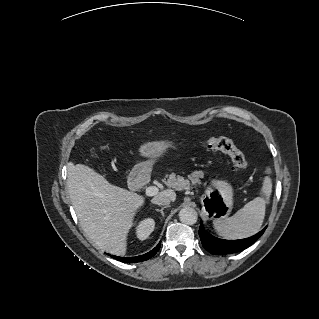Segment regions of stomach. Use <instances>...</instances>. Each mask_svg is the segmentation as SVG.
Here are the masks:
<instances>
[{"label":"stomach","mask_w":319,"mask_h":319,"mask_svg":"<svg viewBox=\"0 0 319 319\" xmlns=\"http://www.w3.org/2000/svg\"><path fill=\"white\" fill-rule=\"evenodd\" d=\"M161 151H162V146L159 144L147 145L145 146V149L143 150V154L147 157L155 158L161 153ZM143 168H145V170L143 171L142 175L143 177H146L149 174L150 165L144 164L141 167H138L137 171H140ZM223 187L225 188L224 184H220L218 187H215L211 191L212 201L208 202L205 199L204 210L206 209V211H208L210 215L214 214V215H217V217H223L229 212V206L227 205L223 197L224 196Z\"/></svg>","instance_id":"0dacf381"}]
</instances>
